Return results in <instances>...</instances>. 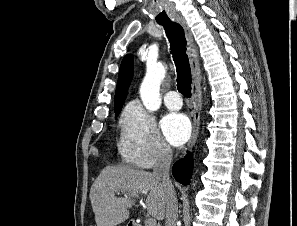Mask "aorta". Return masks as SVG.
Returning a JSON list of instances; mask_svg holds the SVG:
<instances>
[{
	"label": "aorta",
	"mask_w": 297,
	"mask_h": 226,
	"mask_svg": "<svg viewBox=\"0 0 297 226\" xmlns=\"http://www.w3.org/2000/svg\"><path fill=\"white\" fill-rule=\"evenodd\" d=\"M166 74L163 64H156L147 68L146 75L140 87V97L145 108L156 111L161 106L160 84Z\"/></svg>",
	"instance_id": "1"
}]
</instances>
